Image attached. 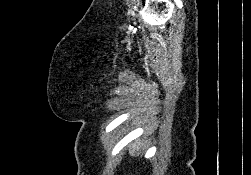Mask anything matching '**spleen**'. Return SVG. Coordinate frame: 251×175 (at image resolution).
Here are the masks:
<instances>
[{"label": "spleen", "instance_id": "1", "mask_svg": "<svg viewBox=\"0 0 251 175\" xmlns=\"http://www.w3.org/2000/svg\"><path fill=\"white\" fill-rule=\"evenodd\" d=\"M137 145H141L140 139H136V141H134V143H132V147H131V149H129L130 155H135L136 149H140V147H137Z\"/></svg>", "mask_w": 251, "mask_h": 175}]
</instances>
